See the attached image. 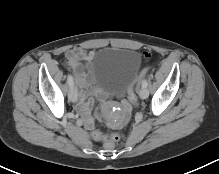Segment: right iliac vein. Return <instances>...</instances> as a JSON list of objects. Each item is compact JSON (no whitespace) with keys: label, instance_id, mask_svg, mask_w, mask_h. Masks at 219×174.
I'll use <instances>...</instances> for the list:
<instances>
[{"label":"right iliac vein","instance_id":"1","mask_svg":"<svg viewBox=\"0 0 219 174\" xmlns=\"http://www.w3.org/2000/svg\"><path fill=\"white\" fill-rule=\"evenodd\" d=\"M68 98L71 102H76L77 100V91L75 87H71L68 93Z\"/></svg>","mask_w":219,"mask_h":174}]
</instances>
